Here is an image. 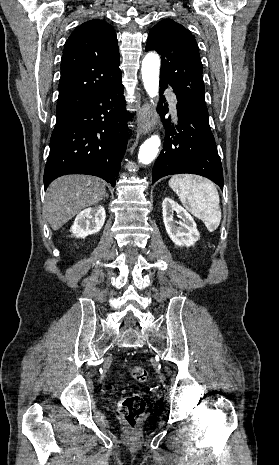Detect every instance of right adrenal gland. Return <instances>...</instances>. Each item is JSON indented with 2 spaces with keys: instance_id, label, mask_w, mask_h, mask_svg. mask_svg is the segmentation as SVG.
<instances>
[{
  "instance_id": "obj_1",
  "label": "right adrenal gland",
  "mask_w": 279,
  "mask_h": 465,
  "mask_svg": "<svg viewBox=\"0 0 279 465\" xmlns=\"http://www.w3.org/2000/svg\"><path fill=\"white\" fill-rule=\"evenodd\" d=\"M106 198H109L108 194L105 195Z\"/></svg>"
}]
</instances>
